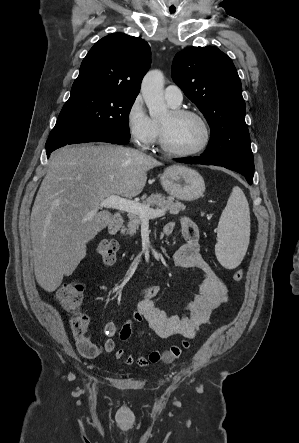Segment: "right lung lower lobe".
Returning <instances> with one entry per match:
<instances>
[{
    "label": "right lung lower lobe",
    "mask_w": 299,
    "mask_h": 443,
    "mask_svg": "<svg viewBox=\"0 0 299 443\" xmlns=\"http://www.w3.org/2000/svg\"><path fill=\"white\" fill-rule=\"evenodd\" d=\"M86 142H107V143L124 145L129 143V138L111 132H98V133L79 135L70 139H59V140L48 139L45 145L47 157L50 156V153L52 151L67 144H77V143H86Z\"/></svg>",
    "instance_id": "obj_1"
}]
</instances>
